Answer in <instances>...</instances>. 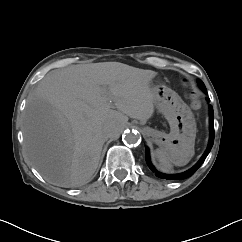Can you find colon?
I'll list each match as a JSON object with an SVG mask.
<instances>
[{
  "mask_svg": "<svg viewBox=\"0 0 242 242\" xmlns=\"http://www.w3.org/2000/svg\"><path fill=\"white\" fill-rule=\"evenodd\" d=\"M190 100H191V106L194 108V109H199L200 108V100L197 96V94H192L191 97H190Z\"/></svg>",
  "mask_w": 242,
  "mask_h": 242,
  "instance_id": "1",
  "label": "colon"
}]
</instances>
